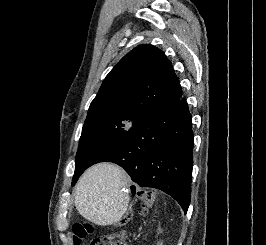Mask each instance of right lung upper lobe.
<instances>
[{
    "label": "right lung upper lobe",
    "mask_w": 266,
    "mask_h": 245,
    "mask_svg": "<svg viewBox=\"0 0 266 245\" xmlns=\"http://www.w3.org/2000/svg\"><path fill=\"white\" fill-rule=\"evenodd\" d=\"M181 96L179 80L165 54L152 45H140L107 75L88 116L112 111L144 117Z\"/></svg>",
    "instance_id": "cb5924a9"
}]
</instances>
